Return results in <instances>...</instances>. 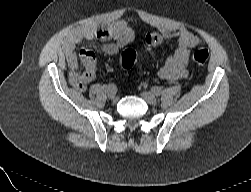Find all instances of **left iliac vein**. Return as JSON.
<instances>
[{"label": "left iliac vein", "mask_w": 251, "mask_h": 192, "mask_svg": "<svg viewBox=\"0 0 251 192\" xmlns=\"http://www.w3.org/2000/svg\"><path fill=\"white\" fill-rule=\"evenodd\" d=\"M141 96L150 105H155L157 102L156 97L151 92L144 91L141 93Z\"/></svg>", "instance_id": "1"}]
</instances>
